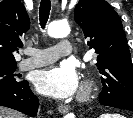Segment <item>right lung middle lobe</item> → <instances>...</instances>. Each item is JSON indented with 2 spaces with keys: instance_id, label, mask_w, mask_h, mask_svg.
Listing matches in <instances>:
<instances>
[{
  "instance_id": "1",
  "label": "right lung middle lobe",
  "mask_w": 133,
  "mask_h": 118,
  "mask_svg": "<svg viewBox=\"0 0 133 118\" xmlns=\"http://www.w3.org/2000/svg\"><path fill=\"white\" fill-rule=\"evenodd\" d=\"M15 70V62L0 63V87L13 86L19 83L15 79Z\"/></svg>"
}]
</instances>
